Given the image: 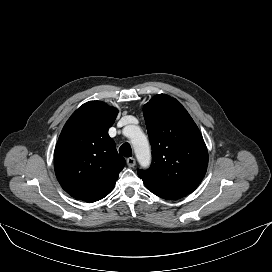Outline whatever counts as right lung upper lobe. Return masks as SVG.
<instances>
[{"label": "right lung upper lobe", "instance_id": "obj_1", "mask_svg": "<svg viewBox=\"0 0 272 272\" xmlns=\"http://www.w3.org/2000/svg\"><path fill=\"white\" fill-rule=\"evenodd\" d=\"M118 110L102 101H90L68 119L55 152L56 177L72 197L91 203L113 189L125 159L108 135Z\"/></svg>", "mask_w": 272, "mask_h": 272}]
</instances>
